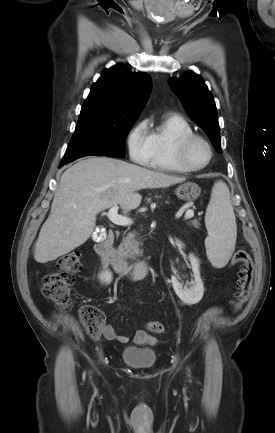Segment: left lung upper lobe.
I'll list each match as a JSON object with an SVG mask.
<instances>
[{
	"mask_svg": "<svg viewBox=\"0 0 275 433\" xmlns=\"http://www.w3.org/2000/svg\"><path fill=\"white\" fill-rule=\"evenodd\" d=\"M168 83L191 120L208 135L216 151L221 152L216 105L203 79L188 71L178 79H169Z\"/></svg>",
	"mask_w": 275,
	"mask_h": 433,
	"instance_id": "1",
	"label": "left lung upper lobe"
}]
</instances>
